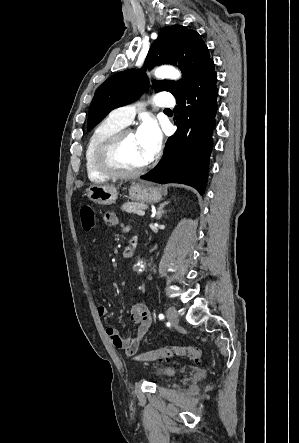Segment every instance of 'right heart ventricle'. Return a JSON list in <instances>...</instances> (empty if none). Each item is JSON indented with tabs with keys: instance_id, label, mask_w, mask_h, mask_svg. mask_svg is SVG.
<instances>
[{
	"instance_id": "obj_1",
	"label": "right heart ventricle",
	"mask_w": 299,
	"mask_h": 443,
	"mask_svg": "<svg viewBox=\"0 0 299 443\" xmlns=\"http://www.w3.org/2000/svg\"><path fill=\"white\" fill-rule=\"evenodd\" d=\"M124 127L125 125L109 116L102 120L90 134L85 148V168L91 182L101 183L109 178L97 168L96 153L107 138Z\"/></svg>"
}]
</instances>
